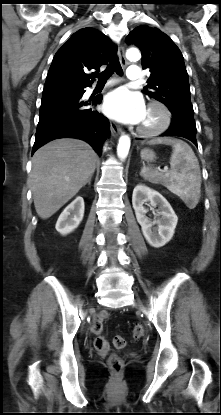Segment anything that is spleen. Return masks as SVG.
<instances>
[{
    "label": "spleen",
    "instance_id": "1",
    "mask_svg": "<svg viewBox=\"0 0 221 415\" xmlns=\"http://www.w3.org/2000/svg\"><path fill=\"white\" fill-rule=\"evenodd\" d=\"M148 144H166L173 147L170 158V171L159 172L143 167L142 177L153 184H162L173 194L179 196L186 205L194 208L200 199L201 173L197 157L185 142L173 138H158Z\"/></svg>",
    "mask_w": 221,
    "mask_h": 415
}]
</instances>
